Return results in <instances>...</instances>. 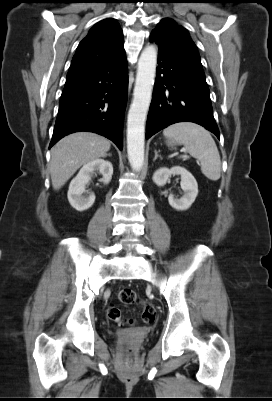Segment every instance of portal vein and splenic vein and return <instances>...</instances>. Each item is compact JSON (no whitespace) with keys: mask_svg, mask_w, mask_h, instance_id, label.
I'll return each instance as SVG.
<instances>
[{"mask_svg":"<svg viewBox=\"0 0 272 401\" xmlns=\"http://www.w3.org/2000/svg\"><path fill=\"white\" fill-rule=\"evenodd\" d=\"M183 158L187 157L186 155L182 156Z\"/></svg>","mask_w":272,"mask_h":401,"instance_id":"portal-vein-and-splenic-vein-1","label":"portal vein and splenic vein"}]
</instances>
